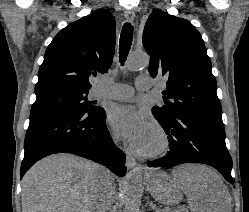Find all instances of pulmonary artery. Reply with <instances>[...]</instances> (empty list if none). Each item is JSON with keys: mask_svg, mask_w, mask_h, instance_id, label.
<instances>
[{"mask_svg": "<svg viewBox=\"0 0 249 212\" xmlns=\"http://www.w3.org/2000/svg\"><path fill=\"white\" fill-rule=\"evenodd\" d=\"M146 75H139L135 80V88L138 91L148 90L153 86L152 82H146ZM98 85L91 91L93 98H109L125 100L133 96L134 88L127 84L114 82L107 75L97 77Z\"/></svg>", "mask_w": 249, "mask_h": 212, "instance_id": "1", "label": "pulmonary artery"}]
</instances>
